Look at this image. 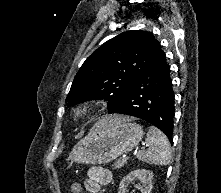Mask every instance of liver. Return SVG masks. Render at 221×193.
<instances>
[{"label": "liver", "instance_id": "obj_1", "mask_svg": "<svg viewBox=\"0 0 221 193\" xmlns=\"http://www.w3.org/2000/svg\"><path fill=\"white\" fill-rule=\"evenodd\" d=\"M125 120H128V118L122 117V116H109L105 117L101 120V123L107 126H111L113 124L121 123Z\"/></svg>", "mask_w": 221, "mask_h": 193}]
</instances>
